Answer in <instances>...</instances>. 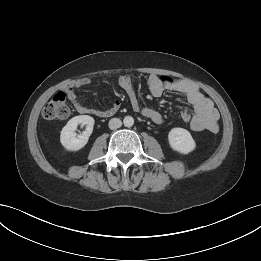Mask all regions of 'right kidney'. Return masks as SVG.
Masks as SVG:
<instances>
[{
	"label": "right kidney",
	"instance_id": "obj_1",
	"mask_svg": "<svg viewBox=\"0 0 261 261\" xmlns=\"http://www.w3.org/2000/svg\"><path fill=\"white\" fill-rule=\"evenodd\" d=\"M94 119L89 115H79L70 119L63 127L60 134V142L66 150L78 151L83 148L93 132ZM86 125V129L82 134L76 136L75 130L77 126Z\"/></svg>",
	"mask_w": 261,
	"mask_h": 261
}]
</instances>
